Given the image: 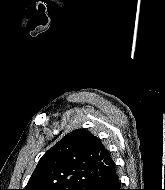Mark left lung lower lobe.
<instances>
[{
  "instance_id": "obj_1",
  "label": "left lung lower lobe",
  "mask_w": 165,
  "mask_h": 190,
  "mask_svg": "<svg viewBox=\"0 0 165 190\" xmlns=\"http://www.w3.org/2000/svg\"><path fill=\"white\" fill-rule=\"evenodd\" d=\"M93 190H122L115 165Z\"/></svg>"
}]
</instances>
